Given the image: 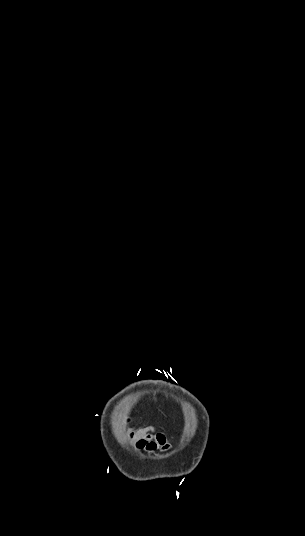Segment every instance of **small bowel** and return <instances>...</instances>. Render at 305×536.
Listing matches in <instances>:
<instances>
[{
	"mask_svg": "<svg viewBox=\"0 0 305 536\" xmlns=\"http://www.w3.org/2000/svg\"><path fill=\"white\" fill-rule=\"evenodd\" d=\"M126 437L136 449L147 453L171 448L167 436L158 427H133L127 431Z\"/></svg>",
	"mask_w": 305,
	"mask_h": 536,
	"instance_id": "obj_1",
	"label": "small bowel"
}]
</instances>
